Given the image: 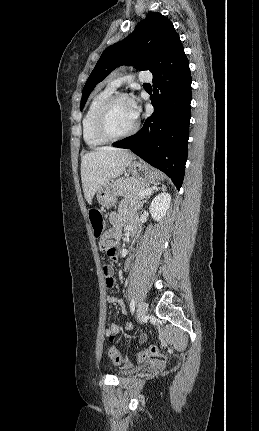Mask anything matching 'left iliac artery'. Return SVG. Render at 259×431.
<instances>
[{
    "mask_svg": "<svg viewBox=\"0 0 259 431\" xmlns=\"http://www.w3.org/2000/svg\"><path fill=\"white\" fill-rule=\"evenodd\" d=\"M130 310H131V313H133V312H134V310H135V300H134V299H132V300H131V303H130Z\"/></svg>",
    "mask_w": 259,
    "mask_h": 431,
    "instance_id": "obj_1",
    "label": "left iliac artery"
}]
</instances>
